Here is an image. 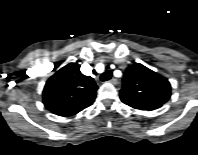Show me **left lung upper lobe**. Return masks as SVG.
I'll use <instances>...</instances> for the list:
<instances>
[{"label": "left lung upper lobe", "mask_w": 198, "mask_h": 155, "mask_svg": "<svg viewBox=\"0 0 198 155\" xmlns=\"http://www.w3.org/2000/svg\"><path fill=\"white\" fill-rule=\"evenodd\" d=\"M171 96L169 81L158 73L136 63L126 69L120 99L139 110H155Z\"/></svg>", "instance_id": "1"}]
</instances>
